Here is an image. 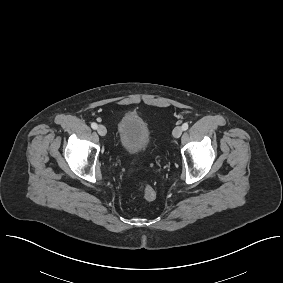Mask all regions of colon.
<instances>
[{
	"instance_id": "1",
	"label": "colon",
	"mask_w": 283,
	"mask_h": 283,
	"mask_svg": "<svg viewBox=\"0 0 283 283\" xmlns=\"http://www.w3.org/2000/svg\"><path fill=\"white\" fill-rule=\"evenodd\" d=\"M139 190L143 198L148 201L154 200L157 196L155 188L147 181H142L139 184Z\"/></svg>"
}]
</instances>
